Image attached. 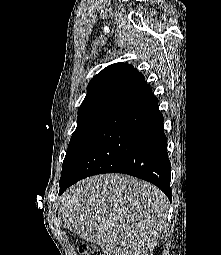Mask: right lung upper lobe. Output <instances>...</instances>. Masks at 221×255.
I'll return each instance as SVG.
<instances>
[{"instance_id":"obj_1","label":"right lung upper lobe","mask_w":221,"mask_h":255,"mask_svg":"<svg viewBox=\"0 0 221 255\" xmlns=\"http://www.w3.org/2000/svg\"><path fill=\"white\" fill-rule=\"evenodd\" d=\"M148 88L144 76L132 65L112 64L91 79L78 113L101 107H120Z\"/></svg>"}]
</instances>
